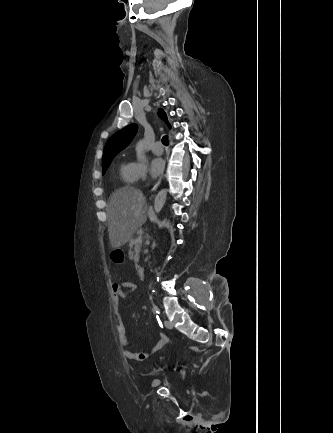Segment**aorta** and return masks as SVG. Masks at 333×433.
I'll return each instance as SVG.
<instances>
[{
	"mask_svg": "<svg viewBox=\"0 0 333 433\" xmlns=\"http://www.w3.org/2000/svg\"><path fill=\"white\" fill-rule=\"evenodd\" d=\"M136 153H137V158L138 160H143L144 159V145L142 141H139L136 145ZM166 197H167V190L163 189L161 191L158 192L155 201H154V211L155 213H159L166 201Z\"/></svg>",
	"mask_w": 333,
	"mask_h": 433,
	"instance_id": "obj_1",
	"label": "aorta"
}]
</instances>
